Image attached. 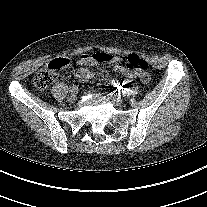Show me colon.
Masks as SVG:
<instances>
[{
    "instance_id": "5ec220e1",
    "label": "colon",
    "mask_w": 207,
    "mask_h": 207,
    "mask_svg": "<svg viewBox=\"0 0 207 207\" xmlns=\"http://www.w3.org/2000/svg\"><path fill=\"white\" fill-rule=\"evenodd\" d=\"M93 56L99 62H109L113 59V55L106 53H95ZM70 64V59L65 57L52 60L46 67L40 69L35 74L33 79L34 85L40 90L48 88L56 78V71L67 68ZM125 66L128 69L140 72H145L148 69L147 61L136 54H130L127 56Z\"/></svg>"
}]
</instances>
